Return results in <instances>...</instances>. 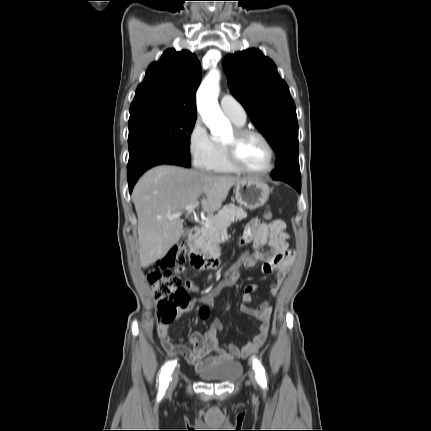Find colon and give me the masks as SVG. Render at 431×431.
Masks as SVG:
<instances>
[{
    "mask_svg": "<svg viewBox=\"0 0 431 431\" xmlns=\"http://www.w3.org/2000/svg\"><path fill=\"white\" fill-rule=\"evenodd\" d=\"M266 218L271 217V211H264ZM249 255V249L246 252L236 257L235 261L230 262L225 266L223 278H218L216 286L206 291V296L198 297L194 303L190 302V295L186 285L182 284V280L178 275L172 273V269L177 271L184 270L186 252L183 249L174 247L160 260L155 266L147 272L149 283L153 287V295L155 298L156 315L160 322L166 323L173 320L180 311L183 310L186 314L192 312V308L208 305L215 302V296L220 298L225 290H231L238 282V279L233 276V272H241L243 259ZM210 309L204 306L198 311V316L201 322H209L211 315Z\"/></svg>",
    "mask_w": 431,
    "mask_h": 431,
    "instance_id": "1",
    "label": "colon"
}]
</instances>
